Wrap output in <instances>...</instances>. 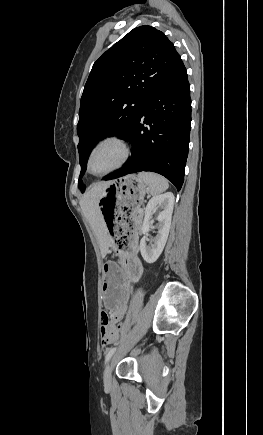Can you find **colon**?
<instances>
[{"mask_svg": "<svg viewBox=\"0 0 263 435\" xmlns=\"http://www.w3.org/2000/svg\"><path fill=\"white\" fill-rule=\"evenodd\" d=\"M104 321H110L108 314L105 312L102 314V324L104 323ZM122 328H123V321H118L117 329H122ZM106 336H109V333L107 330H104V328L102 327L101 342L106 341Z\"/></svg>", "mask_w": 263, "mask_h": 435, "instance_id": "1", "label": "colon"}]
</instances>
